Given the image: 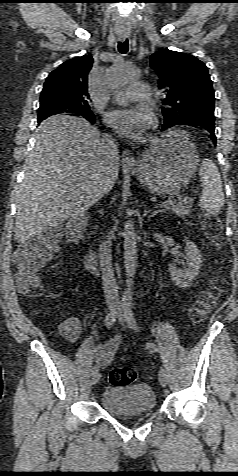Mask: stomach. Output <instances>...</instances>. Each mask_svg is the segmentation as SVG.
I'll list each match as a JSON object with an SVG mask.
<instances>
[{
  "mask_svg": "<svg viewBox=\"0 0 238 476\" xmlns=\"http://www.w3.org/2000/svg\"><path fill=\"white\" fill-rule=\"evenodd\" d=\"M195 145L180 130H170L154 139L138 162L130 168L149 190L171 195L190 181L199 164Z\"/></svg>",
  "mask_w": 238,
  "mask_h": 476,
  "instance_id": "obj_1",
  "label": "stomach"
}]
</instances>
